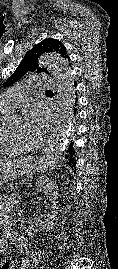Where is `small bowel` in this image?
<instances>
[{
    "label": "small bowel",
    "mask_w": 118,
    "mask_h": 269,
    "mask_svg": "<svg viewBox=\"0 0 118 269\" xmlns=\"http://www.w3.org/2000/svg\"><path fill=\"white\" fill-rule=\"evenodd\" d=\"M10 211L8 204H0V250H5L10 245L16 249L25 250L28 247V240L14 232Z\"/></svg>",
    "instance_id": "1"
}]
</instances>
